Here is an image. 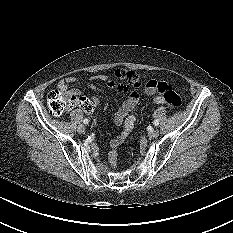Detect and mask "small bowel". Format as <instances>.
I'll return each instance as SVG.
<instances>
[{"instance_id":"small-bowel-1","label":"small bowel","mask_w":233,"mask_h":233,"mask_svg":"<svg viewBox=\"0 0 233 233\" xmlns=\"http://www.w3.org/2000/svg\"><path fill=\"white\" fill-rule=\"evenodd\" d=\"M77 79L73 76L67 77L63 80H61L58 83V90L66 93L69 96H72L76 99V103L79 104V107L81 109H84L88 112L92 111L93 108L98 104L99 99L97 96H93L90 99L86 98L82 95L81 91L77 88H73L72 85L76 83ZM94 81H99L105 83L110 88H115L121 92H124L127 94L126 100L122 103L120 108L117 110L114 116V122L117 125L123 124L122 130L111 139L110 145L112 148H117L120 146L129 133L133 130L135 125V119L133 116H128L129 113L134 110V108L137 106L139 102V93L135 89H131L128 85L123 84L121 82H116L107 75L100 74L96 75L90 78L89 82L87 83V86L96 92H103L101 88H99ZM144 91L148 95H155L157 93H160L158 89L151 85H145ZM154 102L156 104H164L161 96H157L154 98ZM132 118V123L129 124V119Z\"/></svg>"}]
</instances>
